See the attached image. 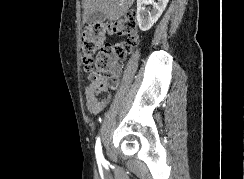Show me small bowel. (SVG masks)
<instances>
[{
    "label": "small bowel",
    "mask_w": 244,
    "mask_h": 179,
    "mask_svg": "<svg viewBox=\"0 0 244 179\" xmlns=\"http://www.w3.org/2000/svg\"><path fill=\"white\" fill-rule=\"evenodd\" d=\"M113 72H117V68ZM84 99L89 112L97 115L109 104L111 94L103 86H101V89H90V86H88L84 91Z\"/></svg>",
    "instance_id": "1"
}]
</instances>
